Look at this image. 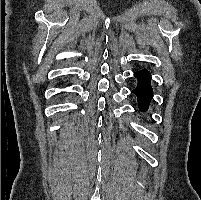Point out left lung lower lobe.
<instances>
[{"label": "left lung lower lobe", "instance_id": "1", "mask_svg": "<svg viewBox=\"0 0 201 200\" xmlns=\"http://www.w3.org/2000/svg\"><path fill=\"white\" fill-rule=\"evenodd\" d=\"M134 76L138 80V85L133 90V93L137 96L139 109L144 112L148 109L153 97V89L150 84L151 75L147 70L143 69L136 72Z\"/></svg>", "mask_w": 201, "mask_h": 200}]
</instances>
